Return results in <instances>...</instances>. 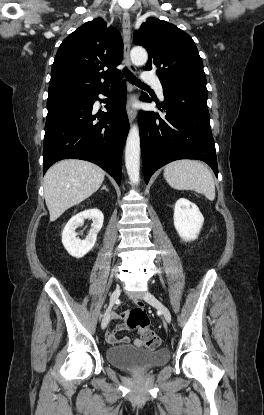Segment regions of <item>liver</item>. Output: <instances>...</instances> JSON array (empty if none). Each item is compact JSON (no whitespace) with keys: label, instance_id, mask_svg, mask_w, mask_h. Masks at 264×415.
<instances>
[{"label":"liver","instance_id":"6515ba94","mask_svg":"<svg viewBox=\"0 0 264 415\" xmlns=\"http://www.w3.org/2000/svg\"><path fill=\"white\" fill-rule=\"evenodd\" d=\"M105 172L83 160L66 159L51 166L44 177V196L50 221L94 194L104 181Z\"/></svg>","mask_w":264,"mask_h":415}]
</instances>
